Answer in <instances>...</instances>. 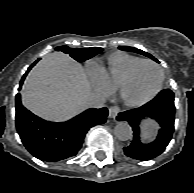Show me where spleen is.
<instances>
[{"instance_id":"spleen-1","label":"spleen","mask_w":194,"mask_h":193,"mask_svg":"<svg viewBox=\"0 0 194 193\" xmlns=\"http://www.w3.org/2000/svg\"><path fill=\"white\" fill-rule=\"evenodd\" d=\"M155 134L154 127L146 122L142 125V137L146 140L151 139Z\"/></svg>"}]
</instances>
